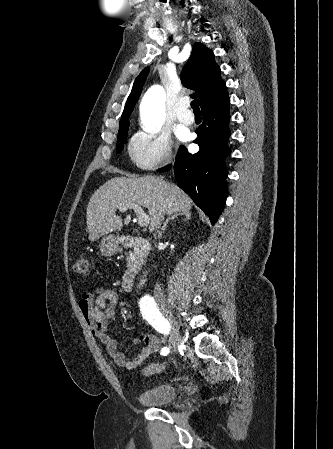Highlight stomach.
<instances>
[{"mask_svg":"<svg viewBox=\"0 0 333 449\" xmlns=\"http://www.w3.org/2000/svg\"><path fill=\"white\" fill-rule=\"evenodd\" d=\"M99 248L103 256H112L119 249V241L116 237L110 235L102 238Z\"/></svg>","mask_w":333,"mask_h":449,"instance_id":"obj_1","label":"stomach"}]
</instances>
